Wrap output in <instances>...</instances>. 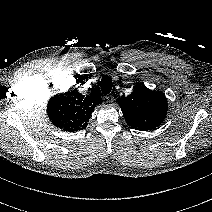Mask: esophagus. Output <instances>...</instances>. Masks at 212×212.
<instances>
[{"mask_svg":"<svg viewBox=\"0 0 212 212\" xmlns=\"http://www.w3.org/2000/svg\"><path fill=\"white\" fill-rule=\"evenodd\" d=\"M105 99L107 102L112 103L114 101V96L112 94L106 95Z\"/></svg>","mask_w":212,"mask_h":212,"instance_id":"34e87169","label":"esophagus"}]
</instances>
